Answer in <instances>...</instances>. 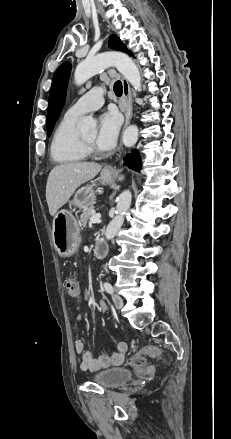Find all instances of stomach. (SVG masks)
<instances>
[{"label": "stomach", "mask_w": 231, "mask_h": 439, "mask_svg": "<svg viewBox=\"0 0 231 439\" xmlns=\"http://www.w3.org/2000/svg\"><path fill=\"white\" fill-rule=\"evenodd\" d=\"M122 180L119 171H110L103 169L100 173L99 181L102 185L112 184L116 179ZM97 184L92 181L90 184L79 188L72 200L70 206L74 205L80 209L92 207L95 203ZM53 242L56 251L61 257L73 256L80 245V225L71 211L62 209L56 212L52 223Z\"/></svg>", "instance_id": "stomach-1"}]
</instances>
